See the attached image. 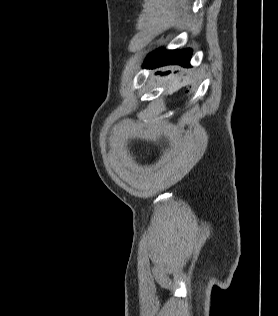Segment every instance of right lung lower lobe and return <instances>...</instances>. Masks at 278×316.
Segmentation results:
<instances>
[{"label":"right lung lower lobe","instance_id":"right-lung-lower-lobe-1","mask_svg":"<svg viewBox=\"0 0 278 316\" xmlns=\"http://www.w3.org/2000/svg\"><path fill=\"white\" fill-rule=\"evenodd\" d=\"M191 55L190 49L171 51L159 49L148 56L144 66L159 67L167 64L189 66Z\"/></svg>","mask_w":278,"mask_h":316}]
</instances>
